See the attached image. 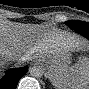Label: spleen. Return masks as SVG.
Masks as SVG:
<instances>
[{"instance_id": "spleen-1", "label": "spleen", "mask_w": 89, "mask_h": 89, "mask_svg": "<svg viewBox=\"0 0 89 89\" xmlns=\"http://www.w3.org/2000/svg\"><path fill=\"white\" fill-rule=\"evenodd\" d=\"M48 78L57 89H85L89 86V59L50 71Z\"/></svg>"}]
</instances>
